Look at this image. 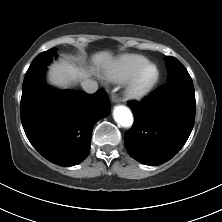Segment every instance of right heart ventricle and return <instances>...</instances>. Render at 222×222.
Masks as SVG:
<instances>
[{
	"label": "right heart ventricle",
	"mask_w": 222,
	"mask_h": 222,
	"mask_svg": "<svg viewBox=\"0 0 222 222\" xmlns=\"http://www.w3.org/2000/svg\"><path fill=\"white\" fill-rule=\"evenodd\" d=\"M147 59L138 54H125L117 58L105 72L104 77L112 82L127 80Z\"/></svg>",
	"instance_id": "e07e8e85"
}]
</instances>
